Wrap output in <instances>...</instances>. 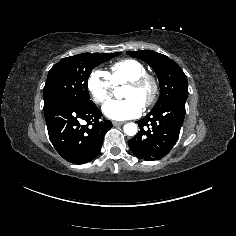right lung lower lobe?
Returning a JSON list of instances; mask_svg holds the SVG:
<instances>
[{"label": "right lung lower lobe", "instance_id": "1", "mask_svg": "<svg viewBox=\"0 0 236 236\" xmlns=\"http://www.w3.org/2000/svg\"><path fill=\"white\" fill-rule=\"evenodd\" d=\"M49 138L66 161L83 164L92 161L100 152L105 133L113 126L102 120V113L93 103L75 104L57 100L44 105Z\"/></svg>", "mask_w": 236, "mask_h": 236}]
</instances>
